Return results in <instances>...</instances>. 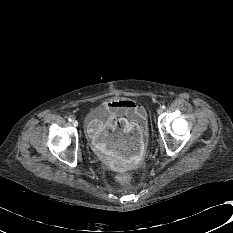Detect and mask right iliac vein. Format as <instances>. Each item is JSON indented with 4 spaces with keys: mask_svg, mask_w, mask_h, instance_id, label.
<instances>
[{
    "mask_svg": "<svg viewBox=\"0 0 233 233\" xmlns=\"http://www.w3.org/2000/svg\"><path fill=\"white\" fill-rule=\"evenodd\" d=\"M72 124L75 126V127H78V122L76 120H73L72 121Z\"/></svg>",
    "mask_w": 233,
    "mask_h": 233,
    "instance_id": "1",
    "label": "right iliac vein"
}]
</instances>
